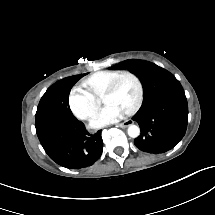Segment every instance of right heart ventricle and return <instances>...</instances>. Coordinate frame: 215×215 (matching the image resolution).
Here are the masks:
<instances>
[{"label": "right heart ventricle", "instance_id": "e07e8e85", "mask_svg": "<svg viewBox=\"0 0 215 215\" xmlns=\"http://www.w3.org/2000/svg\"><path fill=\"white\" fill-rule=\"evenodd\" d=\"M120 71H105V72H101L100 75L96 76L94 83L96 85V87L103 89L105 87H107L109 80H108V76L119 73Z\"/></svg>", "mask_w": 215, "mask_h": 215}]
</instances>
